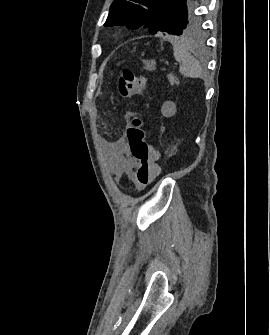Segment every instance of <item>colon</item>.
<instances>
[{"label": "colon", "instance_id": "colon-1", "mask_svg": "<svg viewBox=\"0 0 270 335\" xmlns=\"http://www.w3.org/2000/svg\"><path fill=\"white\" fill-rule=\"evenodd\" d=\"M146 87V80L133 69H125L119 77V92L123 97L141 94ZM143 122L140 117H134L131 125L126 129V138L132 157L137 162V167L132 174V180L139 188L149 185L158 168L154 162L151 148L153 142L145 141ZM153 154H158V149H153Z\"/></svg>", "mask_w": 270, "mask_h": 335}]
</instances>
